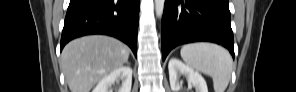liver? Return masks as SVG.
<instances>
[{
  "label": "liver",
  "mask_w": 296,
  "mask_h": 92,
  "mask_svg": "<svg viewBox=\"0 0 296 92\" xmlns=\"http://www.w3.org/2000/svg\"><path fill=\"white\" fill-rule=\"evenodd\" d=\"M128 58L129 49L121 41L92 35L68 43L59 64L71 92H90L96 83L122 67Z\"/></svg>",
  "instance_id": "liver-1"
}]
</instances>
